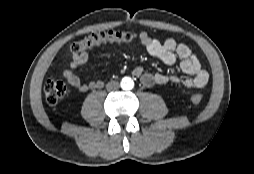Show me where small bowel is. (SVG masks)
I'll return each mask as SVG.
<instances>
[{
    "instance_id": "c3829d8e",
    "label": "small bowel",
    "mask_w": 254,
    "mask_h": 174,
    "mask_svg": "<svg viewBox=\"0 0 254 174\" xmlns=\"http://www.w3.org/2000/svg\"><path fill=\"white\" fill-rule=\"evenodd\" d=\"M139 40L147 53L162 63L171 66L179 62L180 74L151 73L144 71L142 67H135L133 75L145 87L175 83L187 89H199L208 83V72L187 45L179 43L172 38L161 42L144 31L139 34ZM88 59L89 54L87 51L73 54L69 68L63 71V75L69 83L80 91L99 89L103 86V82L100 80L84 82L75 72V69L86 64Z\"/></svg>"
}]
</instances>
